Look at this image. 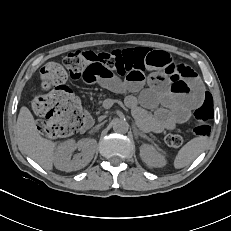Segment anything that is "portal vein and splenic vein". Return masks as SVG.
Returning a JSON list of instances; mask_svg holds the SVG:
<instances>
[{
	"mask_svg": "<svg viewBox=\"0 0 231 231\" xmlns=\"http://www.w3.org/2000/svg\"><path fill=\"white\" fill-rule=\"evenodd\" d=\"M114 100L112 99H106L103 101V108L104 109H110L112 107V105L114 104ZM123 106V105H122ZM124 107V106H123Z\"/></svg>",
	"mask_w": 231,
	"mask_h": 231,
	"instance_id": "portal-vein-and-splenic-vein-1",
	"label": "portal vein and splenic vein"
}]
</instances>
